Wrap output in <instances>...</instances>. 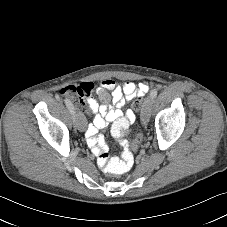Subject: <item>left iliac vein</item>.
Segmentation results:
<instances>
[{"instance_id":"obj_1","label":"left iliac vein","mask_w":227,"mask_h":227,"mask_svg":"<svg viewBox=\"0 0 227 227\" xmlns=\"http://www.w3.org/2000/svg\"><path fill=\"white\" fill-rule=\"evenodd\" d=\"M153 99L151 97H147L143 103V107L141 110V121L143 125H146L149 122L151 116V106Z\"/></svg>"}]
</instances>
